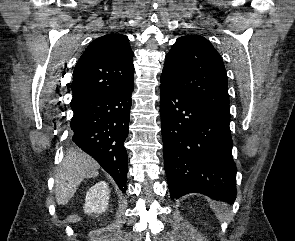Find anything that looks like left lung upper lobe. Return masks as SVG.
Segmentation results:
<instances>
[{
  "label": "left lung upper lobe",
  "mask_w": 295,
  "mask_h": 241,
  "mask_svg": "<svg viewBox=\"0 0 295 241\" xmlns=\"http://www.w3.org/2000/svg\"><path fill=\"white\" fill-rule=\"evenodd\" d=\"M161 76L195 100L230 116L226 70L220 54L204 37L178 38Z\"/></svg>",
  "instance_id": "5c2ea615"
}]
</instances>
